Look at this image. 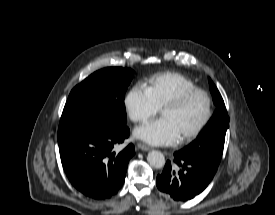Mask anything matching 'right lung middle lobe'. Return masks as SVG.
<instances>
[{
  "mask_svg": "<svg viewBox=\"0 0 275 215\" xmlns=\"http://www.w3.org/2000/svg\"><path fill=\"white\" fill-rule=\"evenodd\" d=\"M132 76L133 70L128 68H105L75 86L65 104L58 132L126 126L124 95Z\"/></svg>",
  "mask_w": 275,
  "mask_h": 215,
  "instance_id": "obj_1",
  "label": "right lung middle lobe"
}]
</instances>
